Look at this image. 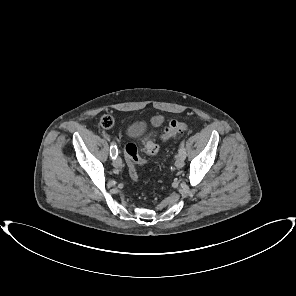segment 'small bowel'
Returning <instances> with one entry per match:
<instances>
[{
    "mask_svg": "<svg viewBox=\"0 0 296 296\" xmlns=\"http://www.w3.org/2000/svg\"><path fill=\"white\" fill-rule=\"evenodd\" d=\"M164 122V117L161 115H156L152 118L151 123L153 126H160Z\"/></svg>",
    "mask_w": 296,
    "mask_h": 296,
    "instance_id": "c3829d8e",
    "label": "small bowel"
}]
</instances>
